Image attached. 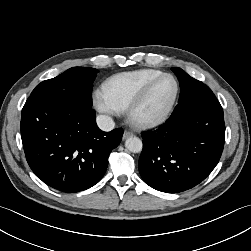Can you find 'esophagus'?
I'll use <instances>...</instances> for the list:
<instances>
[{"label": "esophagus", "instance_id": "esophagus-1", "mask_svg": "<svg viewBox=\"0 0 251 251\" xmlns=\"http://www.w3.org/2000/svg\"><path fill=\"white\" fill-rule=\"evenodd\" d=\"M131 136H133V133L130 132V131H125V132L123 133V139H124V140L127 139V138H129V137H131Z\"/></svg>", "mask_w": 251, "mask_h": 251}]
</instances>
